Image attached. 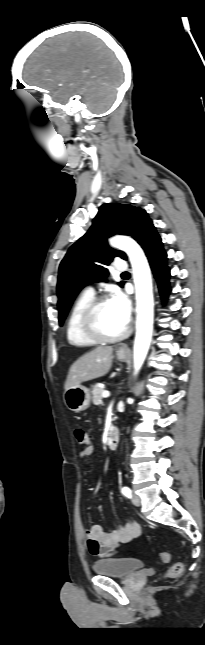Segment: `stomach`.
<instances>
[{"mask_svg":"<svg viewBox=\"0 0 205 645\" xmlns=\"http://www.w3.org/2000/svg\"><path fill=\"white\" fill-rule=\"evenodd\" d=\"M117 358L124 361L127 358L125 353L117 351ZM63 400L68 409L75 412L84 411L89 408L91 393L88 388L82 385L68 388L63 395Z\"/></svg>","mask_w":205,"mask_h":645,"instance_id":"stomach-1","label":"stomach"}]
</instances>
